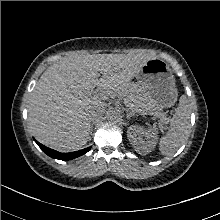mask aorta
<instances>
[{"mask_svg": "<svg viewBox=\"0 0 220 220\" xmlns=\"http://www.w3.org/2000/svg\"><path fill=\"white\" fill-rule=\"evenodd\" d=\"M107 118L109 121H116L119 118V113L115 110H110L107 112Z\"/></svg>", "mask_w": 220, "mask_h": 220, "instance_id": "1", "label": "aorta"}]
</instances>
